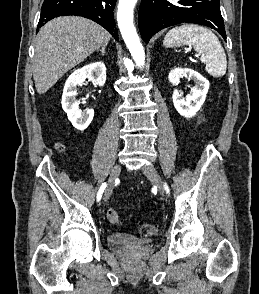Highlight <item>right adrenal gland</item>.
<instances>
[{"label": "right adrenal gland", "mask_w": 259, "mask_h": 294, "mask_svg": "<svg viewBox=\"0 0 259 294\" xmlns=\"http://www.w3.org/2000/svg\"><path fill=\"white\" fill-rule=\"evenodd\" d=\"M106 47H107V45H104V46L101 47V49H99L98 51H100L102 55H105V54H106V52H105Z\"/></svg>", "instance_id": "obj_1"}]
</instances>
